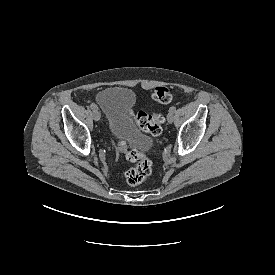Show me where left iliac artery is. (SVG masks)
Returning a JSON list of instances; mask_svg holds the SVG:
<instances>
[{
    "instance_id": "obj_1",
    "label": "left iliac artery",
    "mask_w": 275,
    "mask_h": 275,
    "mask_svg": "<svg viewBox=\"0 0 275 275\" xmlns=\"http://www.w3.org/2000/svg\"><path fill=\"white\" fill-rule=\"evenodd\" d=\"M176 111V107L172 106L169 108L170 113H174Z\"/></svg>"
}]
</instances>
